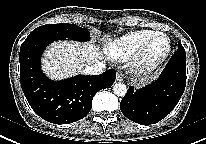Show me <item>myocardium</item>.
<instances>
[{
  "mask_svg": "<svg viewBox=\"0 0 206 144\" xmlns=\"http://www.w3.org/2000/svg\"><path fill=\"white\" fill-rule=\"evenodd\" d=\"M165 38L167 40V48L165 52L155 59H150L148 56L149 49L153 42L158 38ZM172 51V42L168 35L164 33H156L152 37H150L140 48L139 50L132 56L131 58V68L133 71L139 74H147L158 67H160L169 57Z\"/></svg>",
  "mask_w": 206,
  "mask_h": 144,
  "instance_id": "obj_1",
  "label": "myocardium"
}]
</instances>
